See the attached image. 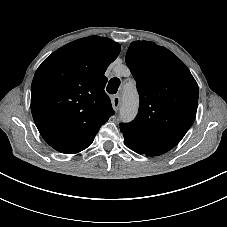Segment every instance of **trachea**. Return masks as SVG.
Masks as SVG:
<instances>
[{"label": "trachea", "mask_w": 227, "mask_h": 227, "mask_svg": "<svg viewBox=\"0 0 227 227\" xmlns=\"http://www.w3.org/2000/svg\"><path fill=\"white\" fill-rule=\"evenodd\" d=\"M119 86H120V80H119V78L115 77L109 81L106 90L110 94H115L117 92Z\"/></svg>", "instance_id": "3493384b"}]
</instances>
